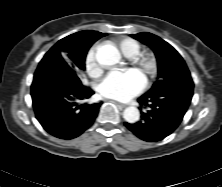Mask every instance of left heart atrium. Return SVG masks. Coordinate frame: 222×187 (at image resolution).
<instances>
[{"mask_svg":"<svg viewBox=\"0 0 222 187\" xmlns=\"http://www.w3.org/2000/svg\"><path fill=\"white\" fill-rule=\"evenodd\" d=\"M145 79L134 68L113 70L99 84L102 96L119 101H129L143 91Z\"/></svg>","mask_w":222,"mask_h":187,"instance_id":"left-heart-atrium-1","label":"left heart atrium"}]
</instances>
